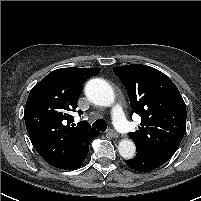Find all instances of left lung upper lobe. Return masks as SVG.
Instances as JSON below:
<instances>
[{
  "mask_svg": "<svg viewBox=\"0 0 201 201\" xmlns=\"http://www.w3.org/2000/svg\"><path fill=\"white\" fill-rule=\"evenodd\" d=\"M124 84L134 112L142 118L139 130L129 133L137 153H175L186 130V106L171 79L142 64L113 68Z\"/></svg>",
  "mask_w": 201,
  "mask_h": 201,
  "instance_id": "obj_1",
  "label": "left lung upper lobe"
}]
</instances>
